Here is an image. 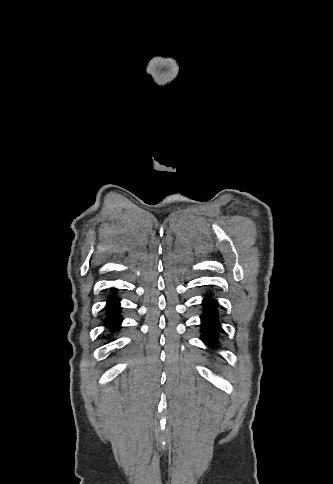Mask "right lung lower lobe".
Here are the masks:
<instances>
[{
  "instance_id": "1",
  "label": "right lung lower lobe",
  "mask_w": 333,
  "mask_h": 484,
  "mask_svg": "<svg viewBox=\"0 0 333 484\" xmlns=\"http://www.w3.org/2000/svg\"><path fill=\"white\" fill-rule=\"evenodd\" d=\"M112 290L115 293V289ZM121 321L119 301L115 296H111L107 303V319L105 325L112 330H117L120 327Z\"/></svg>"
}]
</instances>
